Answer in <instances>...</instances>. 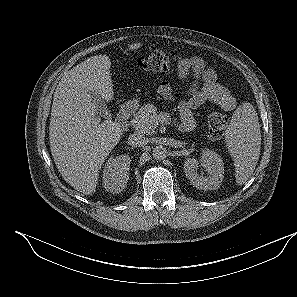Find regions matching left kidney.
I'll return each instance as SVG.
<instances>
[{
	"mask_svg": "<svg viewBox=\"0 0 297 297\" xmlns=\"http://www.w3.org/2000/svg\"><path fill=\"white\" fill-rule=\"evenodd\" d=\"M202 166L207 175L198 174L199 162L195 158H188L184 162V172L193 186L200 190H216L220 187L224 177V163L221 157L210 149L202 151Z\"/></svg>",
	"mask_w": 297,
	"mask_h": 297,
	"instance_id": "obj_1",
	"label": "left kidney"
}]
</instances>
